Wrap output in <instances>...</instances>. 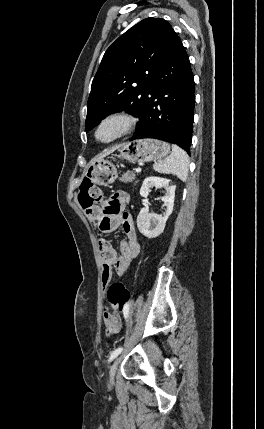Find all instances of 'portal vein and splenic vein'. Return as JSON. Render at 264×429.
<instances>
[{"mask_svg":"<svg viewBox=\"0 0 264 429\" xmlns=\"http://www.w3.org/2000/svg\"><path fill=\"white\" fill-rule=\"evenodd\" d=\"M142 171V169L140 167L136 168V172L140 173Z\"/></svg>","mask_w":264,"mask_h":429,"instance_id":"portal-vein-and-splenic-vein-1","label":"portal vein and splenic vein"}]
</instances>
